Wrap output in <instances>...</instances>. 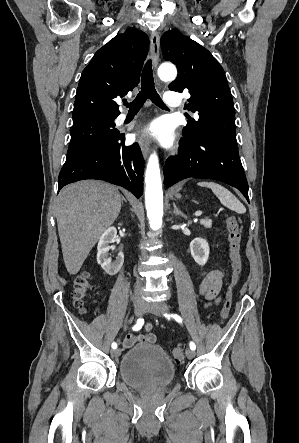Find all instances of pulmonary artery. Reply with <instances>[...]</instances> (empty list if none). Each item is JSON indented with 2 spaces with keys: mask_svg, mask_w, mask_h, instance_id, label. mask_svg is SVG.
Here are the masks:
<instances>
[{
  "mask_svg": "<svg viewBox=\"0 0 299 443\" xmlns=\"http://www.w3.org/2000/svg\"><path fill=\"white\" fill-rule=\"evenodd\" d=\"M164 102L171 108H176L181 105V97L179 94L174 92H166L164 94ZM126 116L123 114L120 116V120H125Z\"/></svg>",
  "mask_w": 299,
  "mask_h": 443,
  "instance_id": "e3ab8cb5",
  "label": "pulmonary artery"
}]
</instances>
